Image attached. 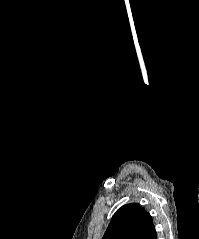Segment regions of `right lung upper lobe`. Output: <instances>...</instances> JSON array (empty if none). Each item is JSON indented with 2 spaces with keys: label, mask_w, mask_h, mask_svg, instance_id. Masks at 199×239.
<instances>
[{
  "label": "right lung upper lobe",
  "mask_w": 199,
  "mask_h": 239,
  "mask_svg": "<svg viewBox=\"0 0 199 239\" xmlns=\"http://www.w3.org/2000/svg\"><path fill=\"white\" fill-rule=\"evenodd\" d=\"M153 229L150 214L138 203H131L117 210L102 239H143Z\"/></svg>",
  "instance_id": "right-lung-upper-lobe-1"
}]
</instances>
